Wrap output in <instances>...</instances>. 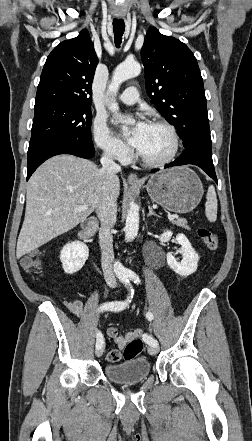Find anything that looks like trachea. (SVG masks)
<instances>
[{
    "instance_id": "1",
    "label": "trachea",
    "mask_w": 252,
    "mask_h": 441,
    "mask_svg": "<svg viewBox=\"0 0 252 441\" xmlns=\"http://www.w3.org/2000/svg\"><path fill=\"white\" fill-rule=\"evenodd\" d=\"M114 42L117 48L120 47L122 36L125 31V23L123 20H113Z\"/></svg>"
}]
</instances>
